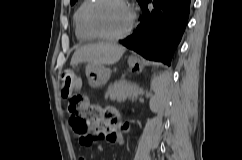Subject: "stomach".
Listing matches in <instances>:
<instances>
[{"label": "stomach", "instance_id": "0dacf381", "mask_svg": "<svg viewBox=\"0 0 242 160\" xmlns=\"http://www.w3.org/2000/svg\"><path fill=\"white\" fill-rule=\"evenodd\" d=\"M128 64L129 67L134 69L137 73L142 71L141 62L137 58L130 57ZM110 76L111 70L104 65H92L88 63L86 66V77L91 88H98L105 85Z\"/></svg>", "mask_w": 242, "mask_h": 160}]
</instances>
